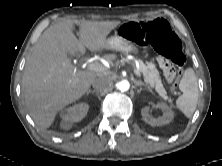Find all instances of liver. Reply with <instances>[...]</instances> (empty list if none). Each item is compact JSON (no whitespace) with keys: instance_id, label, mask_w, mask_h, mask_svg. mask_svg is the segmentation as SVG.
I'll use <instances>...</instances> for the list:
<instances>
[{"instance_id":"1","label":"liver","mask_w":222,"mask_h":166,"mask_svg":"<svg viewBox=\"0 0 222 166\" xmlns=\"http://www.w3.org/2000/svg\"><path fill=\"white\" fill-rule=\"evenodd\" d=\"M80 24L79 40L73 33ZM120 21H77L66 19L46 29L26 61L22 93L35 124L46 129L65 106L81 98L97 74L79 71L68 55L84 54L86 48L97 52L106 48V37ZM116 59L115 55L106 56Z\"/></svg>"}]
</instances>
